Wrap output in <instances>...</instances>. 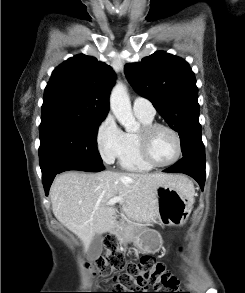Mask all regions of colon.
Returning a JSON list of instances; mask_svg holds the SVG:
<instances>
[{"mask_svg":"<svg viewBox=\"0 0 245 293\" xmlns=\"http://www.w3.org/2000/svg\"><path fill=\"white\" fill-rule=\"evenodd\" d=\"M104 247L105 252L95 260L92 268L95 274L112 277L116 288L113 292L94 293H156L150 287L158 285L178 290L176 278L154 257L142 256L138 261L126 262L124 255L117 250V241L112 236L104 239ZM178 291L180 292L177 293H190Z\"/></svg>","mask_w":245,"mask_h":293,"instance_id":"1","label":"colon"}]
</instances>
